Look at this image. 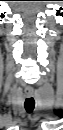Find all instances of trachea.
<instances>
[{
    "instance_id": "3493384b",
    "label": "trachea",
    "mask_w": 63,
    "mask_h": 130,
    "mask_svg": "<svg viewBox=\"0 0 63 130\" xmlns=\"http://www.w3.org/2000/svg\"><path fill=\"white\" fill-rule=\"evenodd\" d=\"M25 109L28 113H31L34 110L35 107V101L33 97L26 98L24 103Z\"/></svg>"
}]
</instances>
